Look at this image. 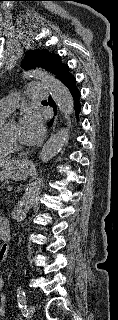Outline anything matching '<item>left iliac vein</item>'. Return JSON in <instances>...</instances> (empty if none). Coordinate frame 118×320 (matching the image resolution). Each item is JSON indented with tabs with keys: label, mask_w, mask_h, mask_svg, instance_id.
<instances>
[{
	"label": "left iliac vein",
	"mask_w": 118,
	"mask_h": 320,
	"mask_svg": "<svg viewBox=\"0 0 118 320\" xmlns=\"http://www.w3.org/2000/svg\"><path fill=\"white\" fill-rule=\"evenodd\" d=\"M35 313V307L33 305H29L27 309V320H30V318L34 315Z\"/></svg>",
	"instance_id": "left-iliac-vein-1"
}]
</instances>
